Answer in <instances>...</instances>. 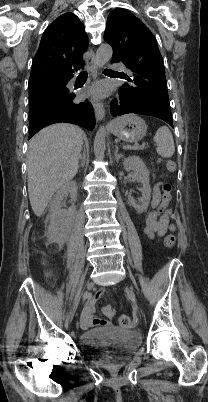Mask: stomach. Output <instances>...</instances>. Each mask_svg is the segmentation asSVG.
Instances as JSON below:
<instances>
[{
  "label": "stomach",
  "mask_w": 208,
  "mask_h": 402,
  "mask_svg": "<svg viewBox=\"0 0 208 402\" xmlns=\"http://www.w3.org/2000/svg\"><path fill=\"white\" fill-rule=\"evenodd\" d=\"M111 134L117 136L123 142H139L147 132V126L136 114H125L121 118L114 120L110 126Z\"/></svg>",
  "instance_id": "stomach-1"
}]
</instances>
